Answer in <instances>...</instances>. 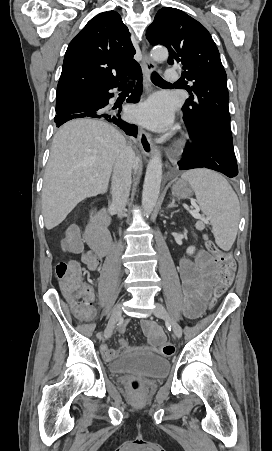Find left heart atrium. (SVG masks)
<instances>
[{"instance_id":"obj_1","label":"left heart atrium","mask_w":272,"mask_h":451,"mask_svg":"<svg viewBox=\"0 0 272 451\" xmlns=\"http://www.w3.org/2000/svg\"><path fill=\"white\" fill-rule=\"evenodd\" d=\"M130 115L150 127L163 129L171 124L172 106L166 99L156 96L132 109Z\"/></svg>"}]
</instances>
